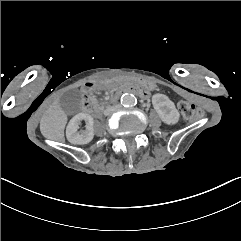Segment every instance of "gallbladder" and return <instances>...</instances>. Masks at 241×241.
I'll list each match as a JSON object with an SVG mask.
<instances>
[{
	"label": "gallbladder",
	"instance_id": "obj_1",
	"mask_svg": "<svg viewBox=\"0 0 241 241\" xmlns=\"http://www.w3.org/2000/svg\"><path fill=\"white\" fill-rule=\"evenodd\" d=\"M81 92L69 90L60 98V108L65 116H74L81 110Z\"/></svg>",
	"mask_w": 241,
	"mask_h": 241
}]
</instances>
